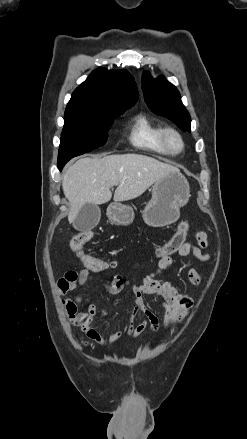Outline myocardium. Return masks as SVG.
Listing matches in <instances>:
<instances>
[{"label":"myocardium","mask_w":247,"mask_h":439,"mask_svg":"<svg viewBox=\"0 0 247 439\" xmlns=\"http://www.w3.org/2000/svg\"><path fill=\"white\" fill-rule=\"evenodd\" d=\"M171 137H174L179 142V147L174 148L170 144ZM161 143L168 154L177 155L180 154L185 147V143L182 135L173 127H164L160 133Z\"/></svg>","instance_id":"1"}]
</instances>
